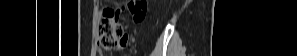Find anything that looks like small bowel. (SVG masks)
<instances>
[{
    "instance_id": "1",
    "label": "small bowel",
    "mask_w": 297,
    "mask_h": 56,
    "mask_svg": "<svg viewBox=\"0 0 297 56\" xmlns=\"http://www.w3.org/2000/svg\"><path fill=\"white\" fill-rule=\"evenodd\" d=\"M131 33H122L121 40H119V49H128V41H130Z\"/></svg>"
}]
</instances>
